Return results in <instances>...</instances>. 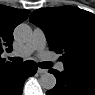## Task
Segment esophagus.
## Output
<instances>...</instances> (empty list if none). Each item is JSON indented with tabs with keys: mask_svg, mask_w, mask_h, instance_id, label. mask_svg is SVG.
I'll list each match as a JSON object with an SVG mask.
<instances>
[{
	"mask_svg": "<svg viewBox=\"0 0 95 95\" xmlns=\"http://www.w3.org/2000/svg\"><path fill=\"white\" fill-rule=\"evenodd\" d=\"M38 73L39 74H45V73H47V70L46 69H42V68H38Z\"/></svg>",
	"mask_w": 95,
	"mask_h": 95,
	"instance_id": "esophagus-1",
	"label": "esophagus"
}]
</instances>
